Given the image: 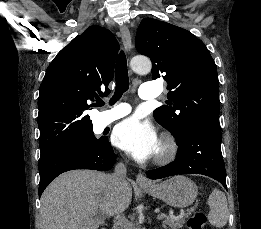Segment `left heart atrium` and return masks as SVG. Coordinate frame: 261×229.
Returning a JSON list of instances; mask_svg holds the SVG:
<instances>
[{
  "label": "left heart atrium",
  "instance_id": "39dd6f15",
  "mask_svg": "<svg viewBox=\"0 0 261 229\" xmlns=\"http://www.w3.org/2000/svg\"><path fill=\"white\" fill-rule=\"evenodd\" d=\"M116 146L137 159H147L156 153L159 139L155 127L146 120L131 117L118 124L113 132Z\"/></svg>",
  "mask_w": 261,
  "mask_h": 229
}]
</instances>
